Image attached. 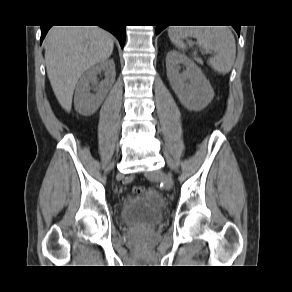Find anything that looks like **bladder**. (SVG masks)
I'll return each mask as SVG.
<instances>
[{
    "mask_svg": "<svg viewBox=\"0 0 292 292\" xmlns=\"http://www.w3.org/2000/svg\"><path fill=\"white\" fill-rule=\"evenodd\" d=\"M163 215V201L155 191L127 198L120 210V217L127 225L153 226L162 221Z\"/></svg>",
    "mask_w": 292,
    "mask_h": 292,
    "instance_id": "bladder-1",
    "label": "bladder"
}]
</instances>
